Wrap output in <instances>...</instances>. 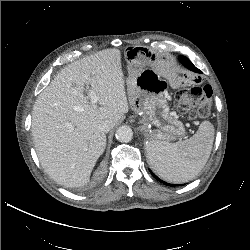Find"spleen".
Here are the masks:
<instances>
[{
	"instance_id": "3e777b00",
	"label": "spleen",
	"mask_w": 250,
	"mask_h": 250,
	"mask_svg": "<svg viewBox=\"0 0 250 250\" xmlns=\"http://www.w3.org/2000/svg\"><path fill=\"white\" fill-rule=\"evenodd\" d=\"M214 140V126L200 124L189 139L170 143L152 139L147 144L148 160L156 173L166 181L183 183L193 179L206 164Z\"/></svg>"
}]
</instances>
